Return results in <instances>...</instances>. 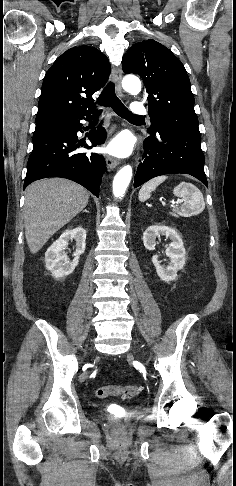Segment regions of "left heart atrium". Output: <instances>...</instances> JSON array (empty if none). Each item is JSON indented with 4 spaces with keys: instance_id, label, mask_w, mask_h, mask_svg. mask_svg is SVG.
Masks as SVG:
<instances>
[{
    "instance_id": "left-heart-atrium-1",
    "label": "left heart atrium",
    "mask_w": 236,
    "mask_h": 486,
    "mask_svg": "<svg viewBox=\"0 0 236 486\" xmlns=\"http://www.w3.org/2000/svg\"><path fill=\"white\" fill-rule=\"evenodd\" d=\"M133 144L126 135H118L105 148V151L117 157H126L132 152Z\"/></svg>"
}]
</instances>
